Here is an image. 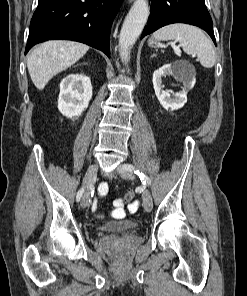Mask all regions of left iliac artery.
Here are the masks:
<instances>
[{"mask_svg": "<svg viewBox=\"0 0 247 296\" xmlns=\"http://www.w3.org/2000/svg\"><path fill=\"white\" fill-rule=\"evenodd\" d=\"M124 168L130 172H134L136 175L139 176L140 180L143 182V184H147L150 185L151 184V180L149 179V177L147 175H145L144 173L140 172L139 170L135 169V167L131 164H124Z\"/></svg>", "mask_w": 247, "mask_h": 296, "instance_id": "44dca946", "label": "left iliac artery"}]
</instances>
